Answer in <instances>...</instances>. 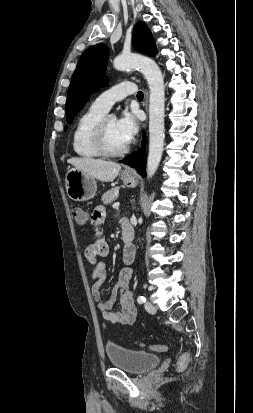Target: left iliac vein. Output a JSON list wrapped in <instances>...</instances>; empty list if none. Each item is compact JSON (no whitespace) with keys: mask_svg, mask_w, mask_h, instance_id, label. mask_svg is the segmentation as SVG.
<instances>
[{"mask_svg":"<svg viewBox=\"0 0 253 413\" xmlns=\"http://www.w3.org/2000/svg\"><path fill=\"white\" fill-rule=\"evenodd\" d=\"M145 309L151 314H154L156 312L155 306L150 301H147L145 303Z\"/></svg>","mask_w":253,"mask_h":413,"instance_id":"obj_1","label":"left iliac vein"}]
</instances>
